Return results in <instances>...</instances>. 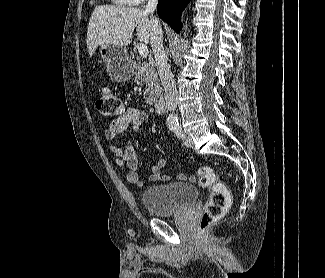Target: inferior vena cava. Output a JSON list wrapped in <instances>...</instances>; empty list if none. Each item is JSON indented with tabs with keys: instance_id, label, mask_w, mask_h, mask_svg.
Wrapping results in <instances>:
<instances>
[{
	"instance_id": "obj_1",
	"label": "inferior vena cava",
	"mask_w": 325,
	"mask_h": 278,
	"mask_svg": "<svg viewBox=\"0 0 325 278\" xmlns=\"http://www.w3.org/2000/svg\"><path fill=\"white\" fill-rule=\"evenodd\" d=\"M158 0H149L145 11L150 14L151 33L150 43L156 61L158 73L165 91L167 109L173 114L177 108L178 96L176 82L167 64V55L163 47V34L159 20L153 15Z\"/></svg>"
}]
</instances>
